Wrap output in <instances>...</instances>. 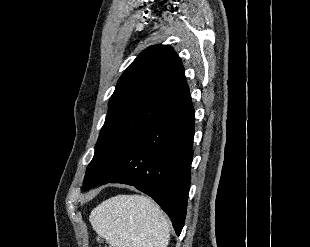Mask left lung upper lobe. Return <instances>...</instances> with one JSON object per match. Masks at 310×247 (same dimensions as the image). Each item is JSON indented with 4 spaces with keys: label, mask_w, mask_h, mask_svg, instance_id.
I'll use <instances>...</instances> for the list:
<instances>
[{
    "label": "left lung upper lobe",
    "mask_w": 310,
    "mask_h": 247,
    "mask_svg": "<svg viewBox=\"0 0 310 247\" xmlns=\"http://www.w3.org/2000/svg\"><path fill=\"white\" fill-rule=\"evenodd\" d=\"M188 93L184 67L171 46L154 45L142 51L110 97L83 189L94 186L150 124Z\"/></svg>",
    "instance_id": "left-lung-upper-lobe-1"
}]
</instances>
